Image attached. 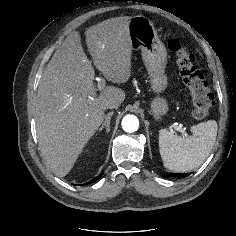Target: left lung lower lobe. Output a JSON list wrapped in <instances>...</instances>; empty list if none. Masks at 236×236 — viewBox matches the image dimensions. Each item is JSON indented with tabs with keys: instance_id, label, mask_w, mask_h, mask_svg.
Masks as SVG:
<instances>
[{
	"instance_id": "1",
	"label": "left lung lower lobe",
	"mask_w": 236,
	"mask_h": 236,
	"mask_svg": "<svg viewBox=\"0 0 236 236\" xmlns=\"http://www.w3.org/2000/svg\"><path fill=\"white\" fill-rule=\"evenodd\" d=\"M190 173H187V174H177V173H171L165 177H186L188 176Z\"/></svg>"
}]
</instances>
